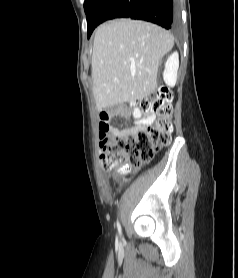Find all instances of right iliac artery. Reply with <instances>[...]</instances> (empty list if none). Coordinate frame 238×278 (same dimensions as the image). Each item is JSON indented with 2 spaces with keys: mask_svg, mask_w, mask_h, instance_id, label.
<instances>
[{
  "mask_svg": "<svg viewBox=\"0 0 238 278\" xmlns=\"http://www.w3.org/2000/svg\"><path fill=\"white\" fill-rule=\"evenodd\" d=\"M117 229L120 230V224L118 221H117Z\"/></svg>",
  "mask_w": 238,
  "mask_h": 278,
  "instance_id": "82829eb1",
  "label": "right iliac artery"
}]
</instances>
